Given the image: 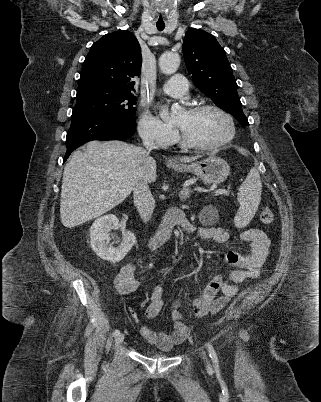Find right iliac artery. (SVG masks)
Returning <instances> with one entry per match:
<instances>
[{
  "label": "right iliac artery",
  "instance_id": "82829eb1",
  "mask_svg": "<svg viewBox=\"0 0 321 402\" xmlns=\"http://www.w3.org/2000/svg\"><path fill=\"white\" fill-rule=\"evenodd\" d=\"M120 334V331L118 330V329H116L114 332H113V335L114 336H118Z\"/></svg>",
  "mask_w": 321,
  "mask_h": 402
}]
</instances>
